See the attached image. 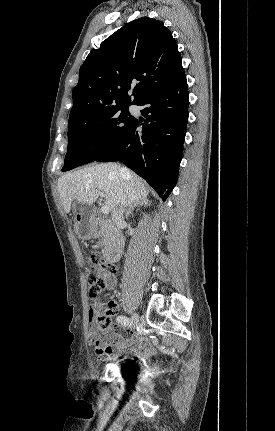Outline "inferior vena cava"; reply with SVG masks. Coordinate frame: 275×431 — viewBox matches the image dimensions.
<instances>
[{
	"label": "inferior vena cava",
	"instance_id": "1",
	"mask_svg": "<svg viewBox=\"0 0 275 431\" xmlns=\"http://www.w3.org/2000/svg\"><path fill=\"white\" fill-rule=\"evenodd\" d=\"M121 172H122V170H121ZM123 213H124V208L122 206L121 207H117L113 211L112 219H113L114 223L116 224V226L118 228H121L123 226V224H124Z\"/></svg>",
	"mask_w": 275,
	"mask_h": 431
}]
</instances>
